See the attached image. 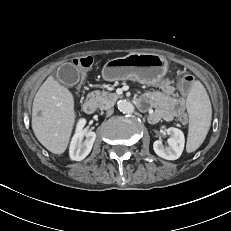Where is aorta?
Segmentation results:
<instances>
[{
  "instance_id": "1",
  "label": "aorta",
  "mask_w": 231,
  "mask_h": 231,
  "mask_svg": "<svg viewBox=\"0 0 231 231\" xmlns=\"http://www.w3.org/2000/svg\"><path fill=\"white\" fill-rule=\"evenodd\" d=\"M117 107H118L120 112L126 113V114H131L135 110L133 104L130 103L129 101H127V100H120L117 103Z\"/></svg>"
}]
</instances>
